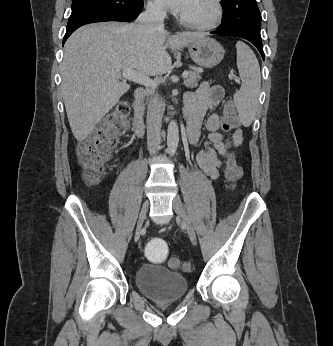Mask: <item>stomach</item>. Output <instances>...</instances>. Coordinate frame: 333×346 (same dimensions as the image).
Wrapping results in <instances>:
<instances>
[{
    "mask_svg": "<svg viewBox=\"0 0 333 346\" xmlns=\"http://www.w3.org/2000/svg\"><path fill=\"white\" fill-rule=\"evenodd\" d=\"M192 60L199 66L212 68L224 58L223 47L214 39L203 37L188 45Z\"/></svg>",
    "mask_w": 333,
    "mask_h": 346,
    "instance_id": "obj_1",
    "label": "stomach"
}]
</instances>
